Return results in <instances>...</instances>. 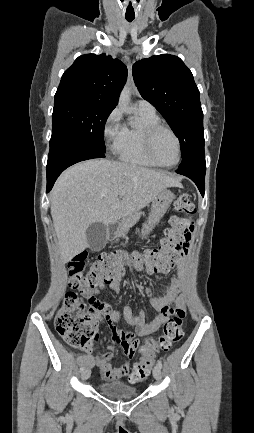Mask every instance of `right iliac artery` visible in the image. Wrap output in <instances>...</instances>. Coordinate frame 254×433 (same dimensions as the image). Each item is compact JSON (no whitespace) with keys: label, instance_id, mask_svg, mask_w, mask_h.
Segmentation results:
<instances>
[{"label":"right iliac artery","instance_id":"1","mask_svg":"<svg viewBox=\"0 0 254 433\" xmlns=\"http://www.w3.org/2000/svg\"><path fill=\"white\" fill-rule=\"evenodd\" d=\"M84 370V367L82 366L81 368H80V371L82 372Z\"/></svg>","mask_w":254,"mask_h":433}]
</instances>
